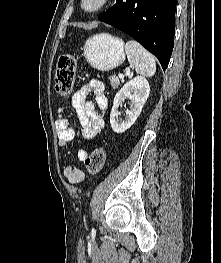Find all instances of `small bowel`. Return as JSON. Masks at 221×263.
I'll use <instances>...</instances> for the list:
<instances>
[{
  "label": "small bowel",
  "mask_w": 221,
  "mask_h": 263,
  "mask_svg": "<svg viewBox=\"0 0 221 263\" xmlns=\"http://www.w3.org/2000/svg\"><path fill=\"white\" fill-rule=\"evenodd\" d=\"M105 86L99 80H90L75 92L72 97V106L82 125V134L85 138L91 139L101 132L104 126V110L107 107V98L104 94ZM94 94V103L87 100L89 94ZM63 108L59 109L62 112ZM58 133L60 149L69 146L75 139V131L70 126L69 120L64 116H59L55 122ZM68 153H70L68 151ZM78 159L83 161L88 156L85 149L78 151ZM63 157L59 152V159ZM63 174L70 183L78 184L84 179L81 169L72 164H68L63 169Z\"/></svg>",
  "instance_id": "obj_1"
}]
</instances>
